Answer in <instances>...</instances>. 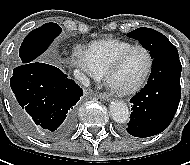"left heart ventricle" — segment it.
Returning <instances> with one entry per match:
<instances>
[{
  "label": "left heart ventricle",
  "instance_id": "left-heart-ventricle-1",
  "mask_svg": "<svg viewBox=\"0 0 190 165\" xmlns=\"http://www.w3.org/2000/svg\"><path fill=\"white\" fill-rule=\"evenodd\" d=\"M148 66V56L142 49L128 53L121 66L112 77V83L121 88L136 84L144 75Z\"/></svg>",
  "mask_w": 190,
  "mask_h": 165
}]
</instances>
